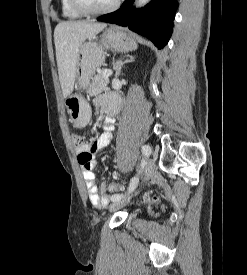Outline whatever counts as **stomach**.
Listing matches in <instances>:
<instances>
[{
  "mask_svg": "<svg viewBox=\"0 0 247 275\" xmlns=\"http://www.w3.org/2000/svg\"><path fill=\"white\" fill-rule=\"evenodd\" d=\"M105 49L117 52H129L137 49L136 41L118 27H110L105 30L100 43L89 39L80 45L77 54V69L75 87L86 89L95 69L103 65L105 61ZM65 106L73 125L77 128L85 127L91 118V110L88 102L78 93L65 99Z\"/></svg>",
  "mask_w": 247,
  "mask_h": 275,
  "instance_id": "obj_1",
  "label": "stomach"
}]
</instances>
